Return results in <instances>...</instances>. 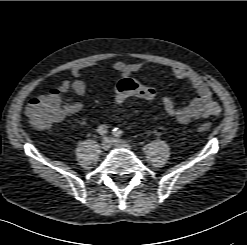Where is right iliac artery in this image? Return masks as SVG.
I'll use <instances>...</instances> for the list:
<instances>
[{"instance_id":"right-iliac-artery-1","label":"right iliac artery","mask_w":247,"mask_h":245,"mask_svg":"<svg viewBox=\"0 0 247 245\" xmlns=\"http://www.w3.org/2000/svg\"><path fill=\"white\" fill-rule=\"evenodd\" d=\"M108 131V127L104 124L100 125L97 129V132L100 134V135H104L106 134Z\"/></svg>"}]
</instances>
